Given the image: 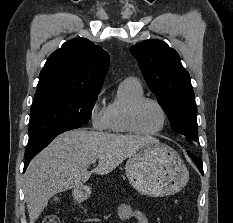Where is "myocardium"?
<instances>
[{
  "mask_svg": "<svg viewBox=\"0 0 233 223\" xmlns=\"http://www.w3.org/2000/svg\"><path fill=\"white\" fill-rule=\"evenodd\" d=\"M146 102H152L155 105H157L159 107V109L161 110V112L163 114V118H164L163 126L158 131L151 132V133H146V132L142 131L138 125L139 110L142 107V105L145 104ZM127 120H128V127L132 133L139 135V136H143V137H152V136L160 135L166 130V128L168 127V124H169V115H168L166 108L164 107V105L160 101H158L157 99H155L153 97L143 96V97L135 100L130 105V107L128 109Z\"/></svg>",
  "mask_w": 233,
  "mask_h": 223,
  "instance_id": "1",
  "label": "myocardium"
}]
</instances>
